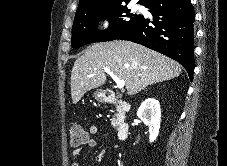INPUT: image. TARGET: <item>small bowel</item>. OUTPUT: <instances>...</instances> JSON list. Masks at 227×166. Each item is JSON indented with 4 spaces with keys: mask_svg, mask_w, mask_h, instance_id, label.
<instances>
[{
    "mask_svg": "<svg viewBox=\"0 0 227 166\" xmlns=\"http://www.w3.org/2000/svg\"><path fill=\"white\" fill-rule=\"evenodd\" d=\"M100 132H101V130L96 125H91L89 127V133L92 136H95V135L99 134ZM96 144H97L96 140L91 138L89 143L87 144V146L90 147V148H93V147L96 146ZM111 152H113V147L112 146L105 147V149L101 153H99L98 155L95 156V158H94L95 163H100L102 161V159H103L104 154L111 153ZM80 155H81V150L80 149H76L73 152V157H74L73 166H81V164L79 162Z\"/></svg>",
    "mask_w": 227,
    "mask_h": 166,
    "instance_id": "small-bowel-1",
    "label": "small bowel"
}]
</instances>
